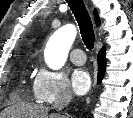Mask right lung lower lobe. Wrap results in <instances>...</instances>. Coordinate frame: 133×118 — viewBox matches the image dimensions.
Returning a JSON list of instances; mask_svg holds the SVG:
<instances>
[{
    "label": "right lung lower lobe",
    "mask_w": 133,
    "mask_h": 118,
    "mask_svg": "<svg viewBox=\"0 0 133 118\" xmlns=\"http://www.w3.org/2000/svg\"><path fill=\"white\" fill-rule=\"evenodd\" d=\"M106 68L105 48L101 49L98 54V83L103 79Z\"/></svg>",
    "instance_id": "right-lung-lower-lobe-1"
}]
</instances>
